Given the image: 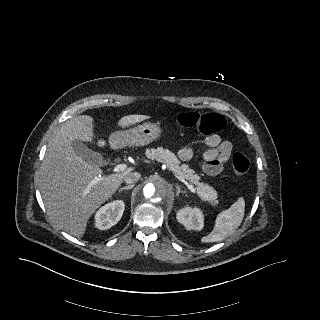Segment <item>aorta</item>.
Listing matches in <instances>:
<instances>
[{"mask_svg":"<svg viewBox=\"0 0 320 320\" xmlns=\"http://www.w3.org/2000/svg\"><path fill=\"white\" fill-rule=\"evenodd\" d=\"M142 200L150 207L158 208L172 193L169 185L160 177L148 180L142 189ZM158 200V201H157Z\"/></svg>","mask_w":320,"mask_h":320,"instance_id":"1","label":"aorta"}]
</instances>
